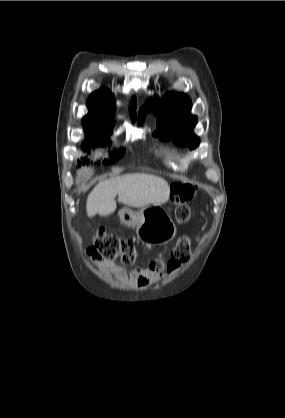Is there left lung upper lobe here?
Wrapping results in <instances>:
<instances>
[{
  "label": "left lung upper lobe",
  "mask_w": 285,
  "mask_h": 418,
  "mask_svg": "<svg viewBox=\"0 0 285 418\" xmlns=\"http://www.w3.org/2000/svg\"><path fill=\"white\" fill-rule=\"evenodd\" d=\"M192 104L190 98L183 93H166L161 100L155 98L151 108L148 104L141 108L138 123L144 121L145 111L151 109L157 116V132L161 139H172L179 146L194 149L200 139L193 128L197 117L190 114Z\"/></svg>",
  "instance_id": "obj_1"
}]
</instances>
